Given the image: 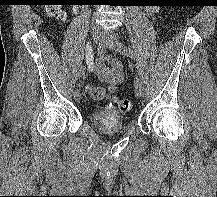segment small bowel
Here are the masks:
<instances>
[{
    "label": "small bowel",
    "instance_id": "small-bowel-1",
    "mask_svg": "<svg viewBox=\"0 0 217 197\" xmlns=\"http://www.w3.org/2000/svg\"><path fill=\"white\" fill-rule=\"evenodd\" d=\"M95 70L99 79L107 84L106 88L94 87L88 89V95L94 100H101L106 92L113 93L117 86L123 81V65L122 62L111 55H106L104 48L98 53L95 62ZM99 92V97H95V93Z\"/></svg>",
    "mask_w": 217,
    "mask_h": 197
}]
</instances>
